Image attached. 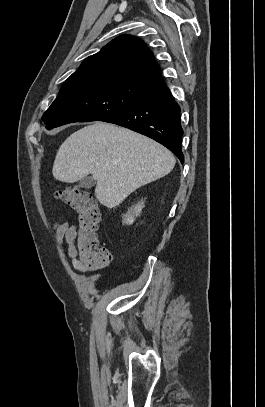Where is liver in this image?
Wrapping results in <instances>:
<instances>
[{
	"mask_svg": "<svg viewBox=\"0 0 265 407\" xmlns=\"http://www.w3.org/2000/svg\"><path fill=\"white\" fill-rule=\"evenodd\" d=\"M175 162L171 151L156 141L126 128L96 122L62 143L53 176L74 183L92 174L97 182L96 198L114 208L136 189L168 175Z\"/></svg>",
	"mask_w": 265,
	"mask_h": 407,
	"instance_id": "liver-1",
	"label": "liver"
}]
</instances>
